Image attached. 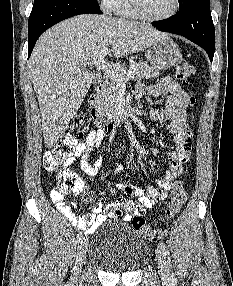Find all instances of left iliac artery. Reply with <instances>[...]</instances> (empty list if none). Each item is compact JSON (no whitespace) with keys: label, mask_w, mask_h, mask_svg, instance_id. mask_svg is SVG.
Segmentation results:
<instances>
[{"label":"left iliac artery","mask_w":233,"mask_h":286,"mask_svg":"<svg viewBox=\"0 0 233 286\" xmlns=\"http://www.w3.org/2000/svg\"><path fill=\"white\" fill-rule=\"evenodd\" d=\"M159 246H160V248H161L163 254L167 257V262H168V264H169V268H172L171 259H170L169 251H168V249H167L166 244H165L163 241H161V242L159 243ZM171 279L174 280V275H173V273H172V275H171Z\"/></svg>","instance_id":"44dca946"}]
</instances>
